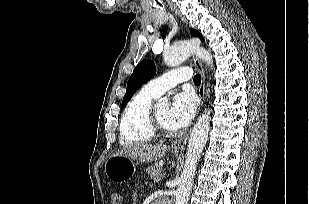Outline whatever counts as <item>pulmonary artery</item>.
Here are the masks:
<instances>
[{
  "mask_svg": "<svg viewBox=\"0 0 309 204\" xmlns=\"http://www.w3.org/2000/svg\"><path fill=\"white\" fill-rule=\"evenodd\" d=\"M191 77L192 72L190 69L172 70L146 83L143 86V91L158 97L181 82L189 80Z\"/></svg>",
  "mask_w": 309,
  "mask_h": 204,
  "instance_id": "1",
  "label": "pulmonary artery"
}]
</instances>
